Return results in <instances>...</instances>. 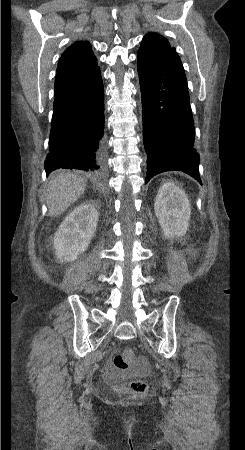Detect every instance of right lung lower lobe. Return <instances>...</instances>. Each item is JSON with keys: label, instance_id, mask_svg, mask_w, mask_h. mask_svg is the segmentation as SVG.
<instances>
[{"label": "right lung lower lobe", "instance_id": "right-lung-lower-lobe-1", "mask_svg": "<svg viewBox=\"0 0 245 450\" xmlns=\"http://www.w3.org/2000/svg\"><path fill=\"white\" fill-rule=\"evenodd\" d=\"M49 146L47 174L61 168L104 173V89L98 67L55 94Z\"/></svg>", "mask_w": 245, "mask_h": 450}]
</instances>
